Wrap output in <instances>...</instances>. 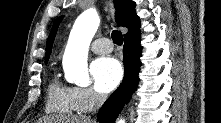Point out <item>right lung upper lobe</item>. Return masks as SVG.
I'll use <instances>...</instances> for the list:
<instances>
[{
  "label": "right lung upper lobe",
  "instance_id": "right-lung-upper-lobe-1",
  "mask_svg": "<svg viewBox=\"0 0 221 123\" xmlns=\"http://www.w3.org/2000/svg\"><path fill=\"white\" fill-rule=\"evenodd\" d=\"M116 6V22L119 26L128 28V32L124 35V38L134 37L140 35V18L135 12V2L131 0H114ZM63 16L57 18L53 24L52 30L46 44V62L49 59L52 50V44L57 32L59 23Z\"/></svg>",
  "mask_w": 221,
  "mask_h": 123
}]
</instances>
